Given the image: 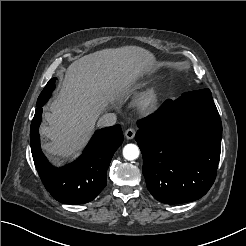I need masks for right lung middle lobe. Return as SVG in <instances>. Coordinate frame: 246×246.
Instances as JSON below:
<instances>
[{
  "label": "right lung middle lobe",
  "mask_w": 246,
  "mask_h": 246,
  "mask_svg": "<svg viewBox=\"0 0 246 246\" xmlns=\"http://www.w3.org/2000/svg\"><path fill=\"white\" fill-rule=\"evenodd\" d=\"M55 80H56V78H52L47 83V85L45 86V88L41 92L40 96L38 97L37 104H36L37 107L38 106H43L47 102V100L49 99L52 91L55 88Z\"/></svg>",
  "instance_id": "right-lung-middle-lobe-1"
}]
</instances>
